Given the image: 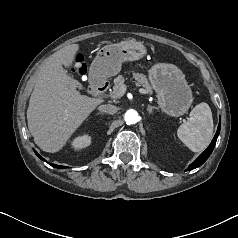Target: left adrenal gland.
Listing matches in <instances>:
<instances>
[{"mask_svg": "<svg viewBox=\"0 0 238 238\" xmlns=\"http://www.w3.org/2000/svg\"><path fill=\"white\" fill-rule=\"evenodd\" d=\"M154 109H156V107L148 106L147 111H148L149 114H151Z\"/></svg>", "mask_w": 238, "mask_h": 238, "instance_id": "a2214340", "label": "left adrenal gland"}]
</instances>
